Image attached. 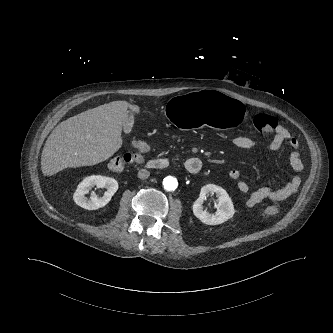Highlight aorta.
I'll list each match as a JSON object with an SVG mask.
<instances>
[{
    "label": "aorta",
    "mask_w": 333,
    "mask_h": 333,
    "mask_svg": "<svg viewBox=\"0 0 333 333\" xmlns=\"http://www.w3.org/2000/svg\"><path fill=\"white\" fill-rule=\"evenodd\" d=\"M163 186L168 191H174L178 186L177 179L172 176H168L164 178Z\"/></svg>",
    "instance_id": "762f6f07"
}]
</instances>
